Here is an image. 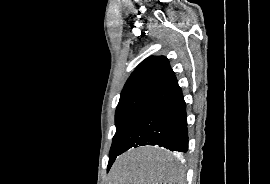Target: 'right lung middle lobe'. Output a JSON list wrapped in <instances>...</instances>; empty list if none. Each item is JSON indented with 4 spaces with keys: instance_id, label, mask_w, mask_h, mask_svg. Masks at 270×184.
I'll return each mask as SVG.
<instances>
[{
    "instance_id": "right-lung-middle-lobe-1",
    "label": "right lung middle lobe",
    "mask_w": 270,
    "mask_h": 184,
    "mask_svg": "<svg viewBox=\"0 0 270 184\" xmlns=\"http://www.w3.org/2000/svg\"><path fill=\"white\" fill-rule=\"evenodd\" d=\"M147 96H135L125 100H120L116 109L115 124L116 133L113 137L110 149L108 170L115 158L119 155L120 147L127 136L135 118L147 102Z\"/></svg>"
}]
</instances>
